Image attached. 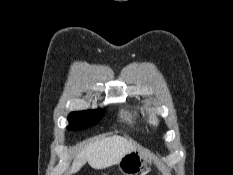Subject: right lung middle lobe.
<instances>
[{"instance_id":"dd1d6c3e","label":"right lung middle lobe","mask_w":233,"mask_h":175,"mask_svg":"<svg viewBox=\"0 0 233 175\" xmlns=\"http://www.w3.org/2000/svg\"><path fill=\"white\" fill-rule=\"evenodd\" d=\"M101 110H87L72 112L68 116L69 126L68 130H82L93 126L97 123L101 116Z\"/></svg>"}]
</instances>
